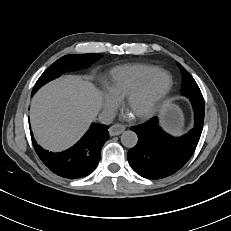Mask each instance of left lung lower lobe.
Returning a JSON list of instances; mask_svg holds the SVG:
<instances>
[{
    "mask_svg": "<svg viewBox=\"0 0 231 231\" xmlns=\"http://www.w3.org/2000/svg\"><path fill=\"white\" fill-rule=\"evenodd\" d=\"M193 109L194 128L182 137L165 133L156 117L131 127L138 135V143L128 151L127 158L137 174L147 179H161L185 165L194 153L203 129L204 108L194 105Z\"/></svg>",
    "mask_w": 231,
    "mask_h": 231,
    "instance_id": "left-lung-lower-lobe-1",
    "label": "left lung lower lobe"
}]
</instances>
